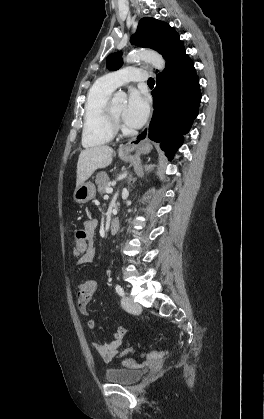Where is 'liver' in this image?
<instances>
[{
	"mask_svg": "<svg viewBox=\"0 0 264 419\" xmlns=\"http://www.w3.org/2000/svg\"><path fill=\"white\" fill-rule=\"evenodd\" d=\"M113 152V149L107 145L81 151L77 163L76 187L82 185L97 169L109 166Z\"/></svg>",
	"mask_w": 264,
	"mask_h": 419,
	"instance_id": "liver-1",
	"label": "liver"
}]
</instances>
